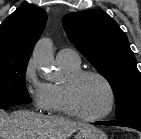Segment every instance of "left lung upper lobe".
<instances>
[{
  "label": "left lung upper lobe",
  "instance_id": "obj_1",
  "mask_svg": "<svg viewBox=\"0 0 141 139\" xmlns=\"http://www.w3.org/2000/svg\"><path fill=\"white\" fill-rule=\"evenodd\" d=\"M64 29L86 59L110 83L116 99L117 120L141 116V77L126 34L105 12H72Z\"/></svg>",
  "mask_w": 141,
  "mask_h": 139
}]
</instances>
